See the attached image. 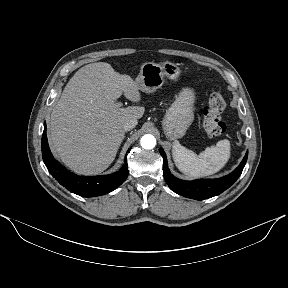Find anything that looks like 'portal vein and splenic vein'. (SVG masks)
Listing matches in <instances>:
<instances>
[{
  "instance_id": "18ae733b",
  "label": "portal vein and splenic vein",
  "mask_w": 288,
  "mask_h": 288,
  "mask_svg": "<svg viewBox=\"0 0 288 288\" xmlns=\"http://www.w3.org/2000/svg\"><path fill=\"white\" fill-rule=\"evenodd\" d=\"M116 105H117L118 107H120V106L122 105V103H117Z\"/></svg>"
}]
</instances>
